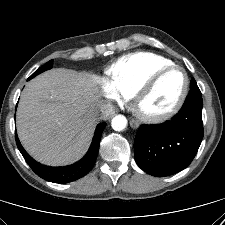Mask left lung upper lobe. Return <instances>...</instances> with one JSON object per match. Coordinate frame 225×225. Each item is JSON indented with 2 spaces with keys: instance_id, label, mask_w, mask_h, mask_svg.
Instances as JSON below:
<instances>
[{
  "instance_id": "obj_1",
  "label": "left lung upper lobe",
  "mask_w": 225,
  "mask_h": 225,
  "mask_svg": "<svg viewBox=\"0 0 225 225\" xmlns=\"http://www.w3.org/2000/svg\"><path fill=\"white\" fill-rule=\"evenodd\" d=\"M190 93H201L194 79L191 80Z\"/></svg>"
}]
</instances>
